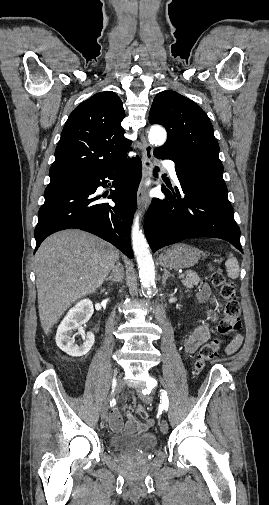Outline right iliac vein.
Listing matches in <instances>:
<instances>
[{
	"mask_svg": "<svg viewBox=\"0 0 269 505\" xmlns=\"http://www.w3.org/2000/svg\"><path fill=\"white\" fill-rule=\"evenodd\" d=\"M114 387L112 388V391L109 393L108 397L106 398L102 410H101V418L103 422L106 420L107 415H108V409H109V402L111 401L114 392L116 393L117 390L121 391L123 389V386L125 385L124 379L122 375H119L116 381L114 382Z\"/></svg>",
	"mask_w": 269,
	"mask_h": 505,
	"instance_id": "63e3f726",
	"label": "right iliac vein"
}]
</instances>
